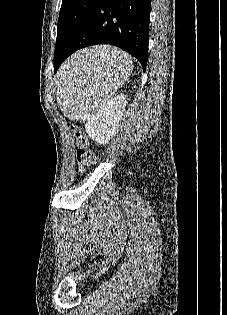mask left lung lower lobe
Instances as JSON below:
<instances>
[{"label": "left lung lower lobe", "instance_id": "left-lung-lower-lobe-1", "mask_svg": "<svg viewBox=\"0 0 227 315\" xmlns=\"http://www.w3.org/2000/svg\"><path fill=\"white\" fill-rule=\"evenodd\" d=\"M151 0H100L67 46L54 55L55 72L75 51L97 44L115 45L136 57L145 71Z\"/></svg>", "mask_w": 227, "mask_h": 315}]
</instances>
